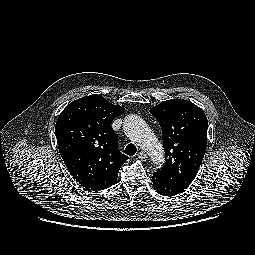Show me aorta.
<instances>
[{"mask_svg":"<svg viewBox=\"0 0 255 255\" xmlns=\"http://www.w3.org/2000/svg\"><path fill=\"white\" fill-rule=\"evenodd\" d=\"M123 130L130 140L149 155L155 165L161 166L164 163V151L161 143L140 116L135 114L126 116Z\"/></svg>","mask_w":255,"mask_h":255,"instance_id":"aorta-1","label":"aorta"}]
</instances>
